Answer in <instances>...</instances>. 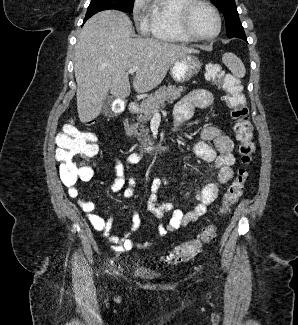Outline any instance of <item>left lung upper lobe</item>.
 <instances>
[{
  "instance_id": "1",
  "label": "left lung upper lobe",
  "mask_w": 298,
  "mask_h": 325,
  "mask_svg": "<svg viewBox=\"0 0 298 325\" xmlns=\"http://www.w3.org/2000/svg\"><path fill=\"white\" fill-rule=\"evenodd\" d=\"M224 14L226 21V33L229 38L245 35L239 20L237 7L234 0H211Z\"/></svg>"
}]
</instances>
